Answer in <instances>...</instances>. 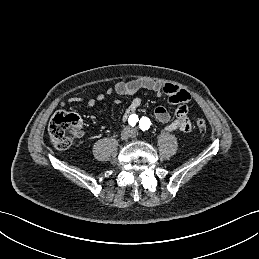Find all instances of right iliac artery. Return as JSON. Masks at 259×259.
I'll use <instances>...</instances> for the list:
<instances>
[{
	"label": "right iliac artery",
	"mask_w": 259,
	"mask_h": 259,
	"mask_svg": "<svg viewBox=\"0 0 259 259\" xmlns=\"http://www.w3.org/2000/svg\"><path fill=\"white\" fill-rule=\"evenodd\" d=\"M138 120H139L138 116L136 114H132L129 116L128 123L131 126H135Z\"/></svg>",
	"instance_id": "82829eb1"
}]
</instances>
